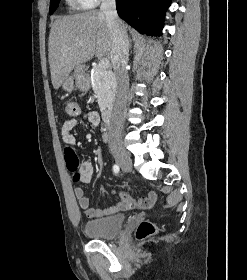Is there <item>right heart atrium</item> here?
Wrapping results in <instances>:
<instances>
[{"mask_svg": "<svg viewBox=\"0 0 247 280\" xmlns=\"http://www.w3.org/2000/svg\"><path fill=\"white\" fill-rule=\"evenodd\" d=\"M101 0H78L79 4L83 7H93L100 3Z\"/></svg>", "mask_w": 247, "mask_h": 280, "instance_id": "right-heart-atrium-1", "label": "right heart atrium"}]
</instances>
